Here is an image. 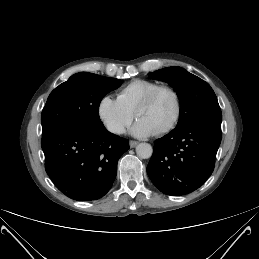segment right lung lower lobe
<instances>
[{
	"instance_id": "1",
	"label": "right lung lower lobe",
	"mask_w": 259,
	"mask_h": 259,
	"mask_svg": "<svg viewBox=\"0 0 259 259\" xmlns=\"http://www.w3.org/2000/svg\"><path fill=\"white\" fill-rule=\"evenodd\" d=\"M45 169L56 187L77 201H94L111 188L129 142L102 126H70L43 134Z\"/></svg>"
}]
</instances>
